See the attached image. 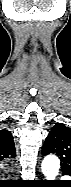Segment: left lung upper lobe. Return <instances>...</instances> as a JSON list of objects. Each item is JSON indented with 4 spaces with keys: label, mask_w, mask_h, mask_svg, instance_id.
Here are the masks:
<instances>
[{
    "label": "left lung upper lobe",
    "mask_w": 71,
    "mask_h": 187,
    "mask_svg": "<svg viewBox=\"0 0 71 187\" xmlns=\"http://www.w3.org/2000/svg\"><path fill=\"white\" fill-rule=\"evenodd\" d=\"M42 154L59 156L63 174H71V128L56 123L43 144Z\"/></svg>",
    "instance_id": "left-lung-upper-lobe-1"
}]
</instances>
